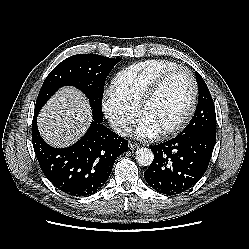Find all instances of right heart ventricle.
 I'll return each instance as SVG.
<instances>
[{"instance_id":"right-heart-ventricle-1","label":"right heart ventricle","mask_w":249,"mask_h":249,"mask_svg":"<svg viewBox=\"0 0 249 249\" xmlns=\"http://www.w3.org/2000/svg\"><path fill=\"white\" fill-rule=\"evenodd\" d=\"M178 66L174 61L149 59L130 65L112 79L111 91L123 102L138 109L143 95L164 71Z\"/></svg>"}]
</instances>
